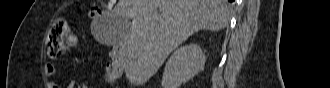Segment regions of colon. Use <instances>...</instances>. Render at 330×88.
Instances as JSON below:
<instances>
[{
	"label": "colon",
	"instance_id": "5ec220e1",
	"mask_svg": "<svg viewBox=\"0 0 330 88\" xmlns=\"http://www.w3.org/2000/svg\"><path fill=\"white\" fill-rule=\"evenodd\" d=\"M97 13L98 8L96 6L89 9L90 18H94ZM75 41H77L76 36L71 31L68 21L65 19L57 20L48 37L49 55L52 57L61 56L65 48ZM110 58L112 64L107 68L105 76L107 80L112 82L117 78L122 67L120 51L114 48L110 52Z\"/></svg>",
	"mask_w": 330,
	"mask_h": 88
}]
</instances>
